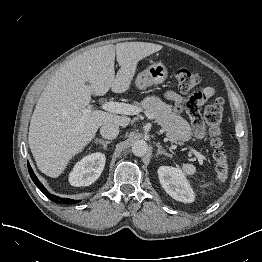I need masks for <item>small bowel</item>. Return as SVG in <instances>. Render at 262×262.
<instances>
[{
  "label": "small bowel",
  "mask_w": 262,
  "mask_h": 262,
  "mask_svg": "<svg viewBox=\"0 0 262 262\" xmlns=\"http://www.w3.org/2000/svg\"><path fill=\"white\" fill-rule=\"evenodd\" d=\"M215 94V89L212 86H205L201 91H199L193 101L197 107L205 104L213 95ZM166 98L173 102L174 105L180 104L183 102V98L173 91H168L166 93ZM191 124L195 132V136L200 139L203 135V124L199 117L192 116Z\"/></svg>",
  "instance_id": "small-bowel-1"
}]
</instances>
